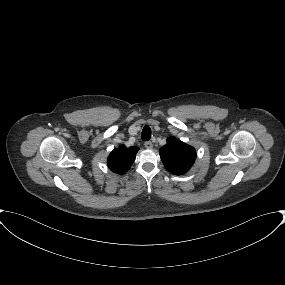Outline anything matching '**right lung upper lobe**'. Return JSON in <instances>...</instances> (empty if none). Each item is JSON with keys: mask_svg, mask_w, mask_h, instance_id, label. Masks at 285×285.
<instances>
[{"mask_svg": "<svg viewBox=\"0 0 285 285\" xmlns=\"http://www.w3.org/2000/svg\"><path fill=\"white\" fill-rule=\"evenodd\" d=\"M138 147H129L121 145L115 148L108 156L107 164L111 171L118 174H124L133 164Z\"/></svg>", "mask_w": 285, "mask_h": 285, "instance_id": "right-lung-upper-lobe-1", "label": "right lung upper lobe"}]
</instances>
